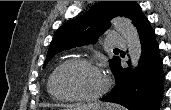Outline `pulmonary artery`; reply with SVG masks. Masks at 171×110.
Listing matches in <instances>:
<instances>
[{"label": "pulmonary artery", "instance_id": "e3ab8cb5", "mask_svg": "<svg viewBox=\"0 0 171 110\" xmlns=\"http://www.w3.org/2000/svg\"><path fill=\"white\" fill-rule=\"evenodd\" d=\"M106 43L112 47H124L126 40L118 33L111 32L107 35Z\"/></svg>", "mask_w": 171, "mask_h": 110}]
</instances>
